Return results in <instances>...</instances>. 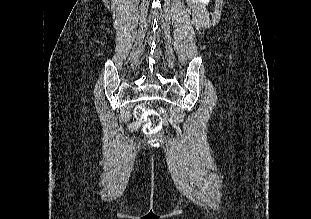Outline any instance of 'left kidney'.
<instances>
[{
  "label": "left kidney",
  "mask_w": 311,
  "mask_h": 219,
  "mask_svg": "<svg viewBox=\"0 0 311 219\" xmlns=\"http://www.w3.org/2000/svg\"><path fill=\"white\" fill-rule=\"evenodd\" d=\"M199 1L204 5H207L210 2V0H199Z\"/></svg>",
  "instance_id": "1"
}]
</instances>
